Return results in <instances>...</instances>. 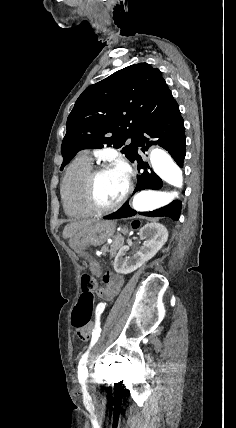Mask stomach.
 I'll list each match as a JSON object with an SVG mask.
<instances>
[{
    "mask_svg": "<svg viewBox=\"0 0 236 428\" xmlns=\"http://www.w3.org/2000/svg\"><path fill=\"white\" fill-rule=\"evenodd\" d=\"M113 234L114 226L111 222L96 220V222L84 226L83 230H81L76 238H70L69 244L81 258H88V254L85 250H87L89 246H102V244H105L106 240L112 238ZM86 268L93 269V274L99 275L102 264L97 263L96 258L92 256L86 261Z\"/></svg>",
    "mask_w": 236,
    "mask_h": 428,
    "instance_id": "1",
    "label": "stomach"
}]
</instances>
